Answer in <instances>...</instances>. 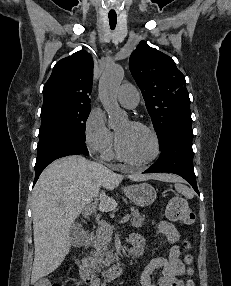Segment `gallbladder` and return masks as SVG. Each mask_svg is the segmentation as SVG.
<instances>
[{"label":"gallbladder","mask_w":231,"mask_h":286,"mask_svg":"<svg viewBox=\"0 0 231 286\" xmlns=\"http://www.w3.org/2000/svg\"><path fill=\"white\" fill-rule=\"evenodd\" d=\"M71 230H73V233L75 234L83 233V228L80 227L78 222L74 223V226L71 228Z\"/></svg>","instance_id":"gallbladder-1"}]
</instances>
